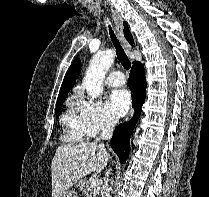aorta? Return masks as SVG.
<instances>
[{
  "label": "aorta",
  "mask_w": 209,
  "mask_h": 197,
  "mask_svg": "<svg viewBox=\"0 0 209 197\" xmlns=\"http://www.w3.org/2000/svg\"><path fill=\"white\" fill-rule=\"evenodd\" d=\"M115 52L112 49L97 53L90 61L83 85L89 96L97 98L103 91L102 83L105 75L114 62Z\"/></svg>",
  "instance_id": "aorta-1"
}]
</instances>
